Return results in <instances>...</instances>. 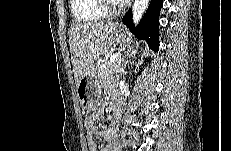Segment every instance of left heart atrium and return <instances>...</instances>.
<instances>
[{
    "instance_id": "obj_1",
    "label": "left heart atrium",
    "mask_w": 231,
    "mask_h": 151,
    "mask_svg": "<svg viewBox=\"0 0 231 151\" xmlns=\"http://www.w3.org/2000/svg\"><path fill=\"white\" fill-rule=\"evenodd\" d=\"M117 3H128L129 0H116Z\"/></svg>"
}]
</instances>
